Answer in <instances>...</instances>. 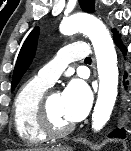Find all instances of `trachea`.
I'll use <instances>...</instances> for the list:
<instances>
[{
	"label": "trachea",
	"mask_w": 131,
	"mask_h": 151,
	"mask_svg": "<svg viewBox=\"0 0 131 151\" xmlns=\"http://www.w3.org/2000/svg\"><path fill=\"white\" fill-rule=\"evenodd\" d=\"M85 62H91V57H87V58L85 59Z\"/></svg>",
	"instance_id": "trachea-1"
}]
</instances>
